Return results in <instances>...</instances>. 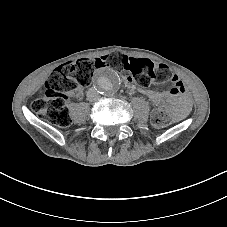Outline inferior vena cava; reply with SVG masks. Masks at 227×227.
<instances>
[{
	"label": "inferior vena cava",
	"instance_id": "inferior-vena-cava-1",
	"mask_svg": "<svg viewBox=\"0 0 227 227\" xmlns=\"http://www.w3.org/2000/svg\"><path fill=\"white\" fill-rule=\"evenodd\" d=\"M87 99L91 102L99 99V93L96 88L92 87L87 91Z\"/></svg>",
	"mask_w": 227,
	"mask_h": 227
}]
</instances>
